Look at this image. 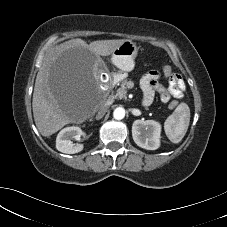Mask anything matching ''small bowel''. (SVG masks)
Returning <instances> with one entry per match:
<instances>
[{
	"instance_id": "small-bowel-1",
	"label": "small bowel",
	"mask_w": 227,
	"mask_h": 227,
	"mask_svg": "<svg viewBox=\"0 0 227 227\" xmlns=\"http://www.w3.org/2000/svg\"><path fill=\"white\" fill-rule=\"evenodd\" d=\"M160 76L158 71H150L142 77L140 86L143 91V104L145 106L152 104L156 92L160 94V99L164 103H167L171 97L181 98L183 96L185 84L180 75L172 74L169 77L168 87L159 82Z\"/></svg>"
}]
</instances>
